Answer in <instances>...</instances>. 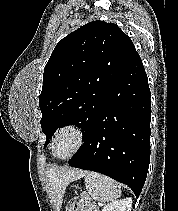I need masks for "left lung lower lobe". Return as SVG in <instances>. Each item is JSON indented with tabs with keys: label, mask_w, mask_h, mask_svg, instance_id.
Wrapping results in <instances>:
<instances>
[{
	"label": "left lung lower lobe",
	"mask_w": 178,
	"mask_h": 211,
	"mask_svg": "<svg viewBox=\"0 0 178 211\" xmlns=\"http://www.w3.org/2000/svg\"><path fill=\"white\" fill-rule=\"evenodd\" d=\"M150 118L147 75L135 52L110 87L84 145L68 164L127 184L139 197L150 162Z\"/></svg>",
	"instance_id": "0a47b994"
}]
</instances>
